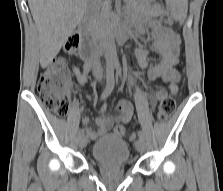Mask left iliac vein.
Masks as SVG:
<instances>
[{"label": "left iliac vein", "mask_w": 223, "mask_h": 191, "mask_svg": "<svg viewBox=\"0 0 223 191\" xmlns=\"http://www.w3.org/2000/svg\"><path fill=\"white\" fill-rule=\"evenodd\" d=\"M136 149L139 153H143L145 151V142L144 139L139 138L135 143Z\"/></svg>", "instance_id": "obj_1"}]
</instances>
